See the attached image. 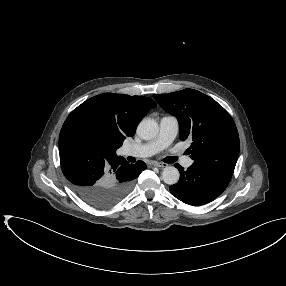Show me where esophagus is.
<instances>
[{"instance_id": "1", "label": "esophagus", "mask_w": 286, "mask_h": 286, "mask_svg": "<svg viewBox=\"0 0 286 286\" xmlns=\"http://www.w3.org/2000/svg\"><path fill=\"white\" fill-rule=\"evenodd\" d=\"M152 165L156 166V167H159V168L167 167V164L161 163V162H153Z\"/></svg>"}]
</instances>
